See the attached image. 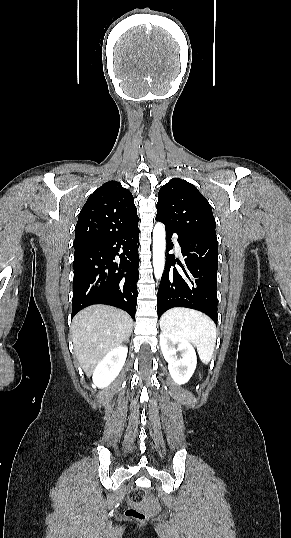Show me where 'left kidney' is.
<instances>
[{
    "instance_id": "1",
    "label": "left kidney",
    "mask_w": 291,
    "mask_h": 538,
    "mask_svg": "<svg viewBox=\"0 0 291 538\" xmlns=\"http://www.w3.org/2000/svg\"><path fill=\"white\" fill-rule=\"evenodd\" d=\"M160 347L168 362V370L174 382L179 385L187 383L197 364V356L193 346L183 337L162 332L160 334ZM178 351L180 352L179 356L177 355Z\"/></svg>"
}]
</instances>
